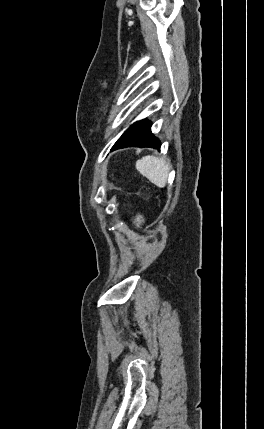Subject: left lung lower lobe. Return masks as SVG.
Masks as SVG:
<instances>
[{"mask_svg":"<svg viewBox=\"0 0 264 429\" xmlns=\"http://www.w3.org/2000/svg\"><path fill=\"white\" fill-rule=\"evenodd\" d=\"M151 125L145 120L131 125L115 143L111 151L126 147L160 148V141L151 133Z\"/></svg>","mask_w":264,"mask_h":429,"instance_id":"left-lung-lower-lobe-1","label":"left lung lower lobe"}]
</instances>
